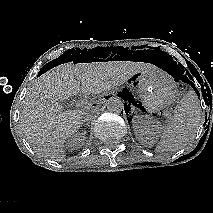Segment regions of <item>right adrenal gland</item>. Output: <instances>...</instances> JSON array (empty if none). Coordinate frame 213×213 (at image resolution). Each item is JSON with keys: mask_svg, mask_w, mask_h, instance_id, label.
Instances as JSON below:
<instances>
[{"mask_svg": "<svg viewBox=\"0 0 213 213\" xmlns=\"http://www.w3.org/2000/svg\"><path fill=\"white\" fill-rule=\"evenodd\" d=\"M85 122H87V121H83V123H85ZM89 124V122H87V125Z\"/></svg>", "mask_w": 213, "mask_h": 213, "instance_id": "obj_1", "label": "right adrenal gland"}]
</instances>
